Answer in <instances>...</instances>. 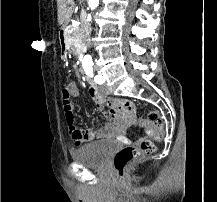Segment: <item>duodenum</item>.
Masks as SVG:
<instances>
[{"label":"duodenum","instance_id":"obj_1","mask_svg":"<svg viewBox=\"0 0 217 202\" xmlns=\"http://www.w3.org/2000/svg\"><path fill=\"white\" fill-rule=\"evenodd\" d=\"M59 45H60V54L64 59L67 56V33L65 29H61L58 33ZM81 75L89 83L90 86H94V79L92 75L82 70Z\"/></svg>","mask_w":217,"mask_h":202}]
</instances>
